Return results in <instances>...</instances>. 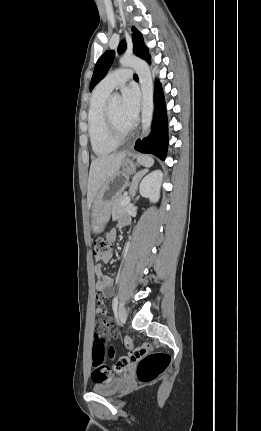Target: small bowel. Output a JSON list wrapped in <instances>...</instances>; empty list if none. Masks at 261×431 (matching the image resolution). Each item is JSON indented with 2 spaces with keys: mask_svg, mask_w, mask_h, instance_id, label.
<instances>
[{
  "mask_svg": "<svg viewBox=\"0 0 261 431\" xmlns=\"http://www.w3.org/2000/svg\"><path fill=\"white\" fill-rule=\"evenodd\" d=\"M120 222L127 223L128 219L126 217H121ZM106 239L108 242H114L116 239V231L111 230L110 232H108L106 235ZM111 258H112L111 253H108L105 256L97 259L103 263H108L111 260ZM94 271L97 277V281L95 285L97 290L96 291L97 309L95 310V313L98 316H105L108 313V310L106 309V305L104 302L107 300V298H110L113 294V280L110 277H107L103 274L101 263H98L95 266ZM97 322L98 324L96 327V330H97L96 334L101 338V341L103 342L106 336L113 334L112 327L110 322L107 321L104 317L99 318ZM124 345L128 349H135L134 343L129 338L125 339ZM127 366L128 365H126V368Z\"/></svg>",
  "mask_w": 261,
  "mask_h": 431,
  "instance_id": "obj_1",
  "label": "small bowel"
}]
</instances>
